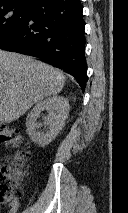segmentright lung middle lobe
<instances>
[{
    "mask_svg": "<svg viewBox=\"0 0 128 213\" xmlns=\"http://www.w3.org/2000/svg\"><path fill=\"white\" fill-rule=\"evenodd\" d=\"M30 8L22 5L0 6V41L23 24Z\"/></svg>",
    "mask_w": 128,
    "mask_h": 213,
    "instance_id": "obj_1",
    "label": "right lung middle lobe"
}]
</instances>
